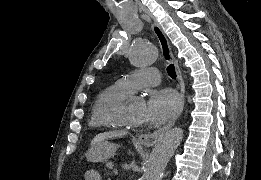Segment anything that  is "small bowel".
Returning <instances> with one entry per match:
<instances>
[{
	"label": "small bowel",
	"mask_w": 261,
	"mask_h": 180,
	"mask_svg": "<svg viewBox=\"0 0 261 180\" xmlns=\"http://www.w3.org/2000/svg\"><path fill=\"white\" fill-rule=\"evenodd\" d=\"M85 179L86 180H99L100 176L96 170L89 169L85 173Z\"/></svg>",
	"instance_id": "obj_1"
}]
</instances>
